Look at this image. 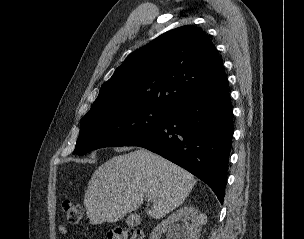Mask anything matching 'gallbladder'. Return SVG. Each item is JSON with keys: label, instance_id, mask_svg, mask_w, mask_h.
Masks as SVG:
<instances>
[{"label": "gallbladder", "instance_id": "bac80fb5", "mask_svg": "<svg viewBox=\"0 0 304 239\" xmlns=\"http://www.w3.org/2000/svg\"><path fill=\"white\" fill-rule=\"evenodd\" d=\"M134 215H130L127 220H126V223L128 226H135L136 223L134 222Z\"/></svg>", "mask_w": 304, "mask_h": 239}]
</instances>
